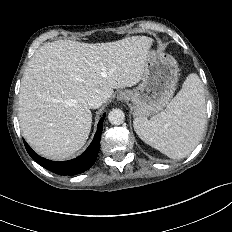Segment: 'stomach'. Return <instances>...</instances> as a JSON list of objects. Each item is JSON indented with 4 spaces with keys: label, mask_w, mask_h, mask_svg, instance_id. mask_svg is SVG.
<instances>
[{
    "label": "stomach",
    "mask_w": 232,
    "mask_h": 232,
    "mask_svg": "<svg viewBox=\"0 0 232 232\" xmlns=\"http://www.w3.org/2000/svg\"><path fill=\"white\" fill-rule=\"evenodd\" d=\"M178 72L177 61L172 55L150 50L141 83L130 91L134 117L147 118L163 110L176 89Z\"/></svg>",
    "instance_id": "obj_1"
}]
</instances>
